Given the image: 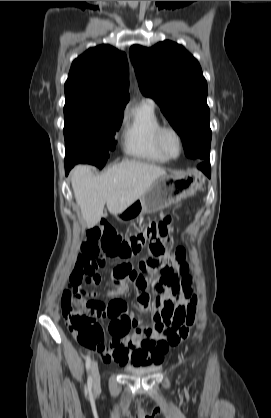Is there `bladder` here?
Instances as JSON below:
<instances>
[{
    "label": "bladder",
    "mask_w": 271,
    "mask_h": 418,
    "mask_svg": "<svg viewBox=\"0 0 271 418\" xmlns=\"http://www.w3.org/2000/svg\"><path fill=\"white\" fill-rule=\"evenodd\" d=\"M155 370H157L156 367H152V368H131L128 369L127 371L133 375H145V374H149L151 372H154Z\"/></svg>",
    "instance_id": "bladder-1"
}]
</instances>
